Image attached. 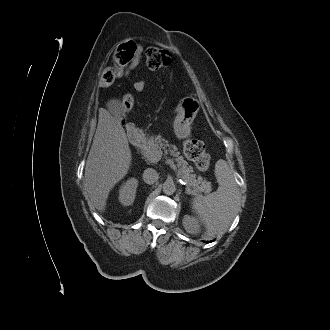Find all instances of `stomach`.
I'll use <instances>...</instances> for the list:
<instances>
[{
    "mask_svg": "<svg viewBox=\"0 0 330 330\" xmlns=\"http://www.w3.org/2000/svg\"><path fill=\"white\" fill-rule=\"evenodd\" d=\"M201 107L197 98L184 97L177 106V117L174 122V132L179 139H187L191 134V123Z\"/></svg>",
    "mask_w": 330,
    "mask_h": 330,
    "instance_id": "stomach-1",
    "label": "stomach"
}]
</instances>
